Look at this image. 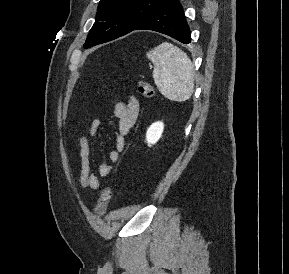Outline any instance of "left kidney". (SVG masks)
I'll return each mask as SVG.
<instances>
[{"label": "left kidney", "mask_w": 289, "mask_h": 274, "mask_svg": "<svg viewBox=\"0 0 289 274\" xmlns=\"http://www.w3.org/2000/svg\"><path fill=\"white\" fill-rule=\"evenodd\" d=\"M164 130V124L162 122L153 123L146 132V140L148 146L155 144L160 138Z\"/></svg>", "instance_id": "1"}]
</instances>
